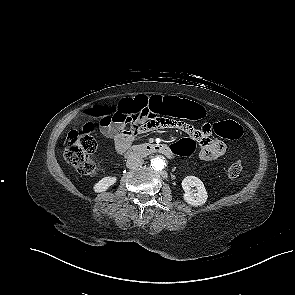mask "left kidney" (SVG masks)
<instances>
[{"mask_svg":"<svg viewBox=\"0 0 295 295\" xmlns=\"http://www.w3.org/2000/svg\"><path fill=\"white\" fill-rule=\"evenodd\" d=\"M182 188L185 192L183 199L191 206H202L207 201V191L203 182L195 176H187L182 180ZM196 187V193H193Z\"/></svg>","mask_w":295,"mask_h":295,"instance_id":"5707ae66","label":"left kidney"}]
</instances>
